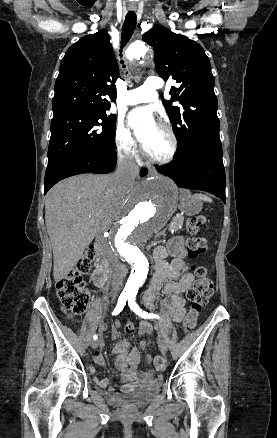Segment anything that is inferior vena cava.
<instances>
[{"mask_svg": "<svg viewBox=\"0 0 277 438\" xmlns=\"http://www.w3.org/2000/svg\"><path fill=\"white\" fill-rule=\"evenodd\" d=\"M139 166H137L134 156H128V154H119L117 162V170L114 174L115 186L118 190L122 188H130L133 186L135 178L139 176ZM113 268V278H112V290H120L123 282V274L119 272V262L117 258L111 260Z\"/></svg>", "mask_w": 277, "mask_h": 438, "instance_id": "obj_1", "label": "inferior vena cava"}]
</instances>
